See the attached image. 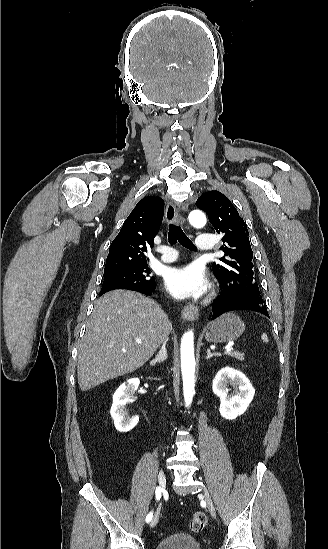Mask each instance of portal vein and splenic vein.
Instances as JSON below:
<instances>
[{
	"mask_svg": "<svg viewBox=\"0 0 328 549\" xmlns=\"http://www.w3.org/2000/svg\"><path fill=\"white\" fill-rule=\"evenodd\" d=\"M136 343L140 345V343H142L141 339H136ZM231 351H234V348L228 347V349H226V353H231Z\"/></svg>",
	"mask_w": 328,
	"mask_h": 549,
	"instance_id": "obj_1",
	"label": "portal vein and splenic vein"
}]
</instances>
